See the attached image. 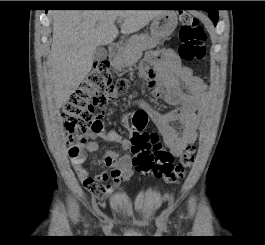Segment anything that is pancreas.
Here are the masks:
<instances>
[{
	"label": "pancreas",
	"instance_id": "1",
	"mask_svg": "<svg viewBox=\"0 0 265 245\" xmlns=\"http://www.w3.org/2000/svg\"><path fill=\"white\" fill-rule=\"evenodd\" d=\"M160 43L159 40L149 37L147 34L132 36L125 44L120 54L113 60V67L122 71L127 66H132L141 57L142 51L152 48Z\"/></svg>",
	"mask_w": 265,
	"mask_h": 245
}]
</instances>
